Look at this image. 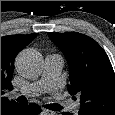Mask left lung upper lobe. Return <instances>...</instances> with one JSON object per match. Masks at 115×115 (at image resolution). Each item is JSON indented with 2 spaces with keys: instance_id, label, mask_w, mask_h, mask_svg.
<instances>
[{
  "instance_id": "1",
  "label": "left lung upper lobe",
  "mask_w": 115,
  "mask_h": 115,
  "mask_svg": "<svg viewBox=\"0 0 115 115\" xmlns=\"http://www.w3.org/2000/svg\"><path fill=\"white\" fill-rule=\"evenodd\" d=\"M48 35L67 59L68 91L80 97L79 115H115V75L101 46L77 32Z\"/></svg>"
}]
</instances>
